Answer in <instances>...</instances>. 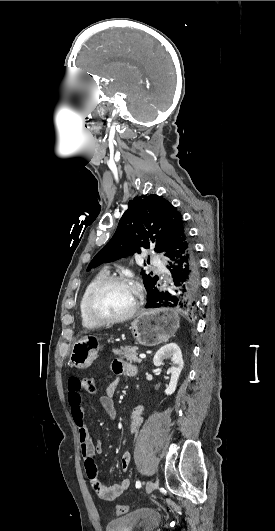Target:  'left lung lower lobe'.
<instances>
[{"mask_svg": "<svg viewBox=\"0 0 275 531\" xmlns=\"http://www.w3.org/2000/svg\"><path fill=\"white\" fill-rule=\"evenodd\" d=\"M171 284L165 291H158L146 308H177L189 316L198 309L200 297V267L194 245L182 227L178 230L165 255Z\"/></svg>", "mask_w": 275, "mask_h": 531, "instance_id": "0a47b994", "label": "left lung lower lobe"}]
</instances>
